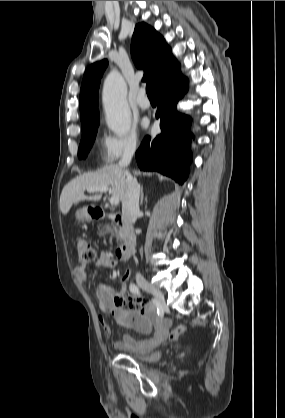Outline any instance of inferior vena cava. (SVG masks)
I'll use <instances>...</instances> for the list:
<instances>
[{"mask_svg": "<svg viewBox=\"0 0 285 418\" xmlns=\"http://www.w3.org/2000/svg\"><path fill=\"white\" fill-rule=\"evenodd\" d=\"M136 150V145L132 144L125 148L123 156L118 163L120 169H125L132 159ZM139 194L140 186L130 173L126 172V189L122 198V215L129 223H135L139 213Z\"/></svg>", "mask_w": 285, "mask_h": 418, "instance_id": "inferior-vena-cava-1", "label": "inferior vena cava"}]
</instances>
